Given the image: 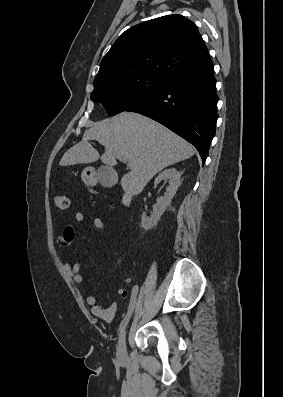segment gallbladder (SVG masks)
Wrapping results in <instances>:
<instances>
[{"label":"gallbladder","instance_id":"obj_1","mask_svg":"<svg viewBox=\"0 0 283 397\" xmlns=\"http://www.w3.org/2000/svg\"><path fill=\"white\" fill-rule=\"evenodd\" d=\"M99 181L105 187H112L117 183L118 177L116 172L108 167L99 169Z\"/></svg>","mask_w":283,"mask_h":397}]
</instances>
